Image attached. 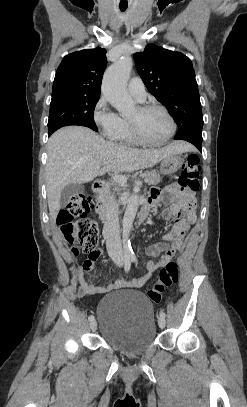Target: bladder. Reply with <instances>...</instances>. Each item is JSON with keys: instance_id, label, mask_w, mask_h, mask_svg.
Listing matches in <instances>:
<instances>
[{"instance_id": "obj_1", "label": "bladder", "mask_w": 247, "mask_h": 407, "mask_svg": "<svg viewBox=\"0 0 247 407\" xmlns=\"http://www.w3.org/2000/svg\"><path fill=\"white\" fill-rule=\"evenodd\" d=\"M96 319L103 340L128 357L143 354L157 337L152 303L136 291L104 297Z\"/></svg>"}]
</instances>
